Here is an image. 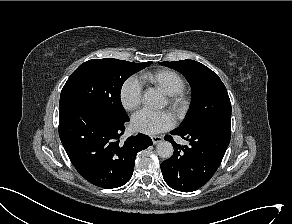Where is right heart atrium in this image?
<instances>
[{
	"label": "right heart atrium",
	"instance_id": "right-heart-atrium-1",
	"mask_svg": "<svg viewBox=\"0 0 292 224\" xmlns=\"http://www.w3.org/2000/svg\"><path fill=\"white\" fill-rule=\"evenodd\" d=\"M142 95V85L135 77L126 79L120 87V101L127 111H132L139 107L142 102Z\"/></svg>",
	"mask_w": 292,
	"mask_h": 224
}]
</instances>
